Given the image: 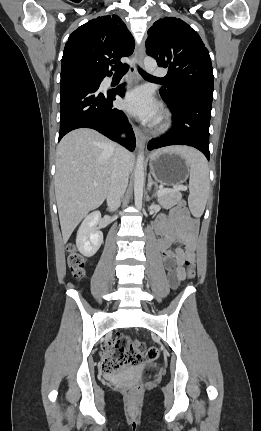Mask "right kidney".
Returning a JSON list of instances; mask_svg holds the SVG:
<instances>
[{
  "mask_svg": "<svg viewBox=\"0 0 261 431\" xmlns=\"http://www.w3.org/2000/svg\"><path fill=\"white\" fill-rule=\"evenodd\" d=\"M101 219L99 211L92 212L82 222L76 237V246L86 257L93 256L103 242V233L96 226Z\"/></svg>",
  "mask_w": 261,
  "mask_h": 431,
  "instance_id": "right-kidney-1",
  "label": "right kidney"
}]
</instances>
